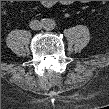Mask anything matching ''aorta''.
Listing matches in <instances>:
<instances>
[{
  "instance_id": "1",
  "label": "aorta",
  "mask_w": 109,
  "mask_h": 109,
  "mask_svg": "<svg viewBox=\"0 0 109 109\" xmlns=\"http://www.w3.org/2000/svg\"><path fill=\"white\" fill-rule=\"evenodd\" d=\"M56 26V22L53 19H46L44 22V28L46 30H52Z\"/></svg>"
}]
</instances>
